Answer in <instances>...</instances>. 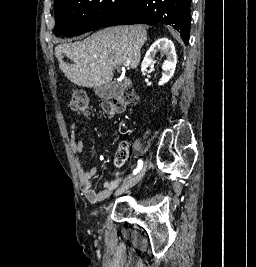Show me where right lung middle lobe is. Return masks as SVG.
<instances>
[{"mask_svg":"<svg viewBox=\"0 0 256 267\" xmlns=\"http://www.w3.org/2000/svg\"><path fill=\"white\" fill-rule=\"evenodd\" d=\"M134 0H57L54 2L56 36L80 35L102 28Z\"/></svg>","mask_w":256,"mask_h":267,"instance_id":"dd1d6c3e","label":"right lung middle lobe"}]
</instances>
